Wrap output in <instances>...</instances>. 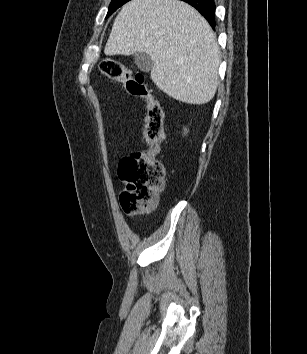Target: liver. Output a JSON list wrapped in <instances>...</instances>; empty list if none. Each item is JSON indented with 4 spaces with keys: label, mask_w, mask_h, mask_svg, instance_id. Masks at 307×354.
<instances>
[{
    "label": "liver",
    "mask_w": 307,
    "mask_h": 354,
    "mask_svg": "<svg viewBox=\"0 0 307 354\" xmlns=\"http://www.w3.org/2000/svg\"><path fill=\"white\" fill-rule=\"evenodd\" d=\"M146 53L151 79L168 96L201 105L214 97L221 62L205 18L179 0H131L115 18L105 55Z\"/></svg>",
    "instance_id": "1"
}]
</instances>
